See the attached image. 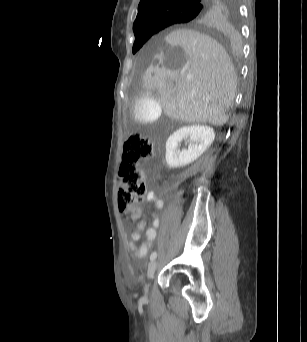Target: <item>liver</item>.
<instances>
[{
	"instance_id": "liver-1",
	"label": "liver",
	"mask_w": 307,
	"mask_h": 342,
	"mask_svg": "<svg viewBox=\"0 0 307 342\" xmlns=\"http://www.w3.org/2000/svg\"><path fill=\"white\" fill-rule=\"evenodd\" d=\"M164 42L157 44V56L150 57L142 88H157L168 118L187 124H226L237 78L221 44L195 30H174Z\"/></svg>"
}]
</instances>
